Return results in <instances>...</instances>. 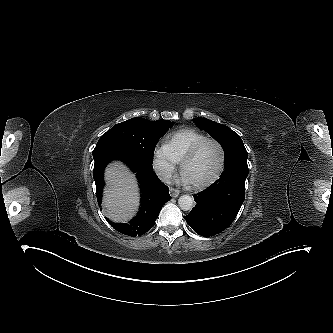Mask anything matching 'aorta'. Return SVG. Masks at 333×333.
<instances>
[{
	"label": "aorta",
	"instance_id": "762f6f07",
	"mask_svg": "<svg viewBox=\"0 0 333 333\" xmlns=\"http://www.w3.org/2000/svg\"><path fill=\"white\" fill-rule=\"evenodd\" d=\"M178 205L183 211L191 210L194 206V199L189 195H182L178 199Z\"/></svg>",
	"mask_w": 333,
	"mask_h": 333
}]
</instances>
